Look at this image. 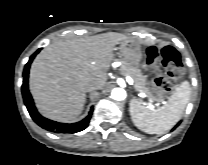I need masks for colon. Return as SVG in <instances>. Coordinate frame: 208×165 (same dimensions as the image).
<instances>
[{"label":"colon","instance_id":"5ec220e1","mask_svg":"<svg viewBox=\"0 0 208 165\" xmlns=\"http://www.w3.org/2000/svg\"><path fill=\"white\" fill-rule=\"evenodd\" d=\"M147 66L155 71L151 83L158 95L167 94L172 80L182 73V61L179 52L172 46L161 50L149 47L146 50Z\"/></svg>","mask_w":208,"mask_h":165}]
</instances>
